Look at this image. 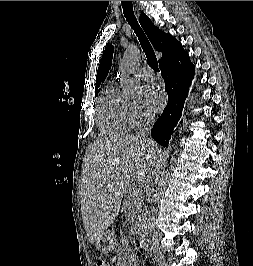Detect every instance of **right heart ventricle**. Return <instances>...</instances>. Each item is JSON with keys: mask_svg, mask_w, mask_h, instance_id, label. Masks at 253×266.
I'll list each match as a JSON object with an SVG mask.
<instances>
[{"mask_svg": "<svg viewBox=\"0 0 253 266\" xmlns=\"http://www.w3.org/2000/svg\"><path fill=\"white\" fill-rule=\"evenodd\" d=\"M97 121L101 133L108 136L123 135L134 127L129 103L114 85L107 86L99 99Z\"/></svg>", "mask_w": 253, "mask_h": 266, "instance_id": "obj_1", "label": "right heart ventricle"}]
</instances>
